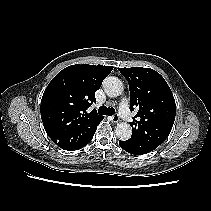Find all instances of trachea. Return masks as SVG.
<instances>
[{
  "label": "trachea",
  "mask_w": 211,
  "mask_h": 211,
  "mask_svg": "<svg viewBox=\"0 0 211 211\" xmlns=\"http://www.w3.org/2000/svg\"><path fill=\"white\" fill-rule=\"evenodd\" d=\"M98 113L100 115H109V116H112L115 113V109L114 108H109V107L107 108L106 106L103 105V106L99 107Z\"/></svg>",
  "instance_id": "obj_1"
}]
</instances>
